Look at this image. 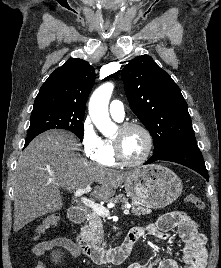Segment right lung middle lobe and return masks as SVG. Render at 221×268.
Wrapping results in <instances>:
<instances>
[{
    "mask_svg": "<svg viewBox=\"0 0 221 268\" xmlns=\"http://www.w3.org/2000/svg\"><path fill=\"white\" fill-rule=\"evenodd\" d=\"M84 113L62 109L32 111L27 137L37 136L49 129H65L74 133L81 141L84 134Z\"/></svg>",
    "mask_w": 221,
    "mask_h": 268,
    "instance_id": "dd1d6c3e",
    "label": "right lung middle lobe"
}]
</instances>
